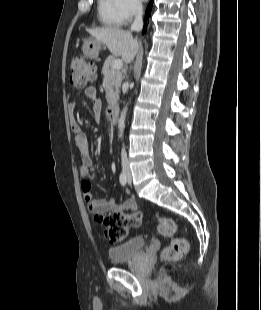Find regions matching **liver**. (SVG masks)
<instances>
[{
	"label": "liver",
	"mask_w": 261,
	"mask_h": 310,
	"mask_svg": "<svg viewBox=\"0 0 261 310\" xmlns=\"http://www.w3.org/2000/svg\"><path fill=\"white\" fill-rule=\"evenodd\" d=\"M88 32L94 39L104 43L113 55L121 56L126 63L132 62L138 53L139 43L129 31L109 27L88 29Z\"/></svg>",
	"instance_id": "liver-1"
}]
</instances>
